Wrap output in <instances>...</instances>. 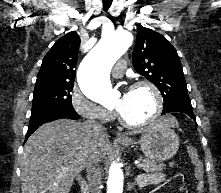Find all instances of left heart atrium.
I'll return each instance as SVG.
<instances>
[{
	"label": "left heart atrium",
	"mask_w": 221,
	"mask_h": 193,
	"mask_svg": "<svg viewBox=\"0 0 221 193\" xmlns=\"http://www.w3.org/2000/svg\"><path fill=\"white\" fill-rule=\"evenodd\" d=\"M127 94H128L127 92H125V93L123 94V98H124V99H126Z\"/></svg>",
	"instance_id": "left-heart-atrium-1"
}]
</instances>
